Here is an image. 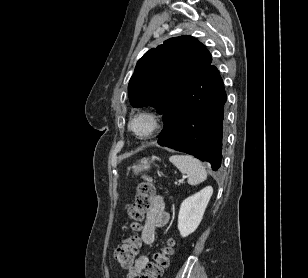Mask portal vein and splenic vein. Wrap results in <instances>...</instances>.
<instances>
[{
    "instance_id": "portal-vein-and-splenic-vein-1",
    "label": "portal vein and splenic vein",
    "mask_w": 308,
    "mask_h": 278,
    "mask_svg": "<svg viewBox=\"0 0 308 278\" xmlns=\"http://www.w3.org/2000/svg\"><path fill=\"white\" fill-rule=\"evenodd\" d=\"M183 180H184V179H180L178 182L181 183V182H183ZM176 183H177V182H176Z\"/></svg>"
}]
</instances>
